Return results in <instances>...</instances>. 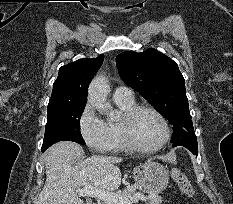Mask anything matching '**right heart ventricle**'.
Returning a JSON list of instances; mask_svg holds the SVG:
<instances>
[{"mask_svg": "<svg viewBox=\"0 0 233 204\" xmlns=\"http://www.w3.org/2000/svg\"><path fill=\"white\" fill-rule=\"evenodd\" d=\"M114 102L118 107V109L120 110L121 114H123L124 112L128 111L129 109L135 106L134 99H129V100L114 99ZM106 125L111 138L110 150L120 151L127 149L122 138L119 121H109L106 123Z\"/></svg>", "mask_w": 233, "mask_h": 204, "instance_id": "obj_1", "label": "right heart ventricle"}]
</instances>
